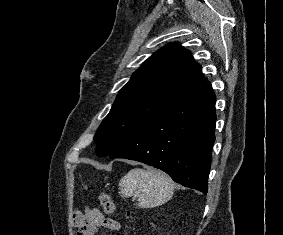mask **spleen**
<instances>
[{"instance_id":"obj_1","label":"spleen","mask_w":283,"mask_h":235,"mask_svg":"<svg viewBox=\"0 0 283 235\" xmlns=\"http://www.w3.org/2000/svg\"><path fill=\"white\" fill-rule=\"evenodd\" d=\"M174 182L158 170L131 169L119 182V193L123 198L138 199L140 208H154L169 201L174 193Z\"/></svg>"}]
</instances>
